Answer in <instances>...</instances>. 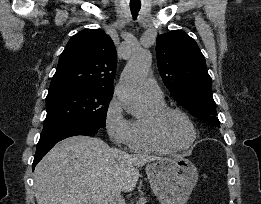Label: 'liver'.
Segmentation results:
<instances>
[{
  "label": "liver",
  "instance_id": "liver-1",
  "mask_svg": "<svg viewBox=\"0 0 261 204\" xmlns=\"http://www.w3.org/2000/svg\"><path fill=\"white\" fill-rule=\"evenodd\" d=\"M168 160L128 154L103 140L73 136L58 143L36 166L37 204H109L113 192H131L139 167Z\"/></svg>",
  "mask_w": 261,
  "mask_h": 204
}]
</instances>
